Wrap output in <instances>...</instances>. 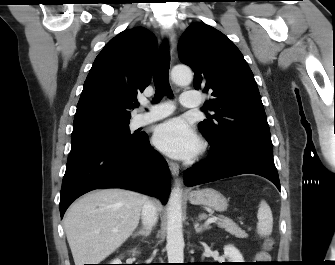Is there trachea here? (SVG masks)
I'll return each mask as SVG.
<instances>
[{"label":"trachea","instance_id":"3493384b","mask_svg":"<svg viewBox=\"0 0 335 265\" xmlns=\"http://www.w3.org/2000/svg\"><path fill=\"white\" fill-rule=\"evenodd\" d=\"M170 55L168 43L164 42L161 51L156 59L153 69V79L156 88L154 102H158L164 95L172 96V90L169 84Z\"/></svg>","mask_w":335,"mask_h":265}]
</instances>
